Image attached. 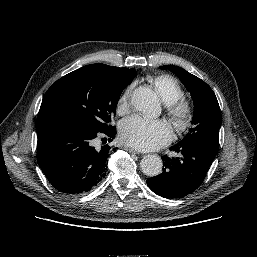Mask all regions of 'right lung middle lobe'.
Returning <instances> with one entry per match:
<instances>
[{"label": "right lung middle lobe", "mask_w": 257, "mask_h": 257, "mask_svg": "<svg viewBox=\"0 0 257 257\" xmlns=\"http://www.w3.org/2000/svg\"><path fill=\"white\" fill-rule=\"evenodd\" d=\"M135 76L133 68L111 71L94 64L77 69L48 89L36 125L73 123L94 131L108 130L120 95Z\"/></svg>", "instance_id": "1"}]
</instances>
